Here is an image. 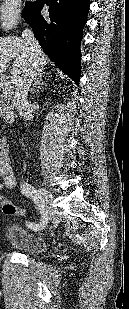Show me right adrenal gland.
<instances>
[{"instance_id": "right-adrenal-gland-1", "label": "right adrenal gland", "mask_w": 129, "mask_h": 309, "mask_svg": "<svg viewBox=\"0 0 129 309\" xmlns=\"http://www.w3.org/2000/svg\"><path fill=\"white\" fill-rule=\"evenodd\" d=\"M43 74H45V72H41L39 74L38 78L36 79V81L34 82L32 88H31V91H33L36 87L40 88V86L45 84V82L42 79Z\"/></svg>"}]
</instances>
